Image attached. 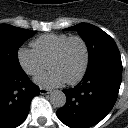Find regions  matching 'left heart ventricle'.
Here are the masks:
<instances>
[{
    "label": "left heart ventricle",
    "instance_id": "obj_1",
    "mask_svg": "<svg viewBox=\"0 0 128 128\" xmlns=\"http://www.w3.org/2000/svg\"><path fill=\"white\" fill-rule=\"evenodd\" d=\"M84 64V48L78 40L71 41L57 61L49 64L50 70L57 71L65 81L75 78Z\"/></svg>",
    "mask_w": 128,
    "mask_h": 128
}]
</instances>
